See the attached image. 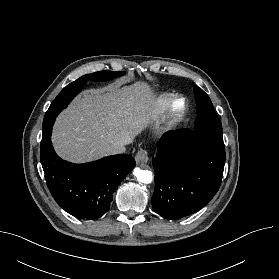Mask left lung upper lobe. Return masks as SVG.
Segmentation results:
<instances>
[{"label":"left lung upper lobe","mask_w":279,"mask_h":279,"mask_svg":"<svg viewBox=\"0 0 279 279\" xmlns=\"http://www.w3.org/2000/svg\"><path fill=\"white\" fill-rule=\"evenodd\" d=\"M194 94L197 102V118L193 132L200 134L221 147H225L222 124L214 111L210 98L201 88H195Z\"/></svg>","instance_id":"5c2ea615"}]
</instances>
